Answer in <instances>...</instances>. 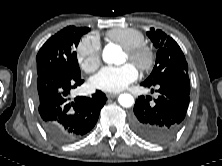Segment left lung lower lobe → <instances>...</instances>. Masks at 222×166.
Masks as SVG:
<instances>
[{"label": "left lung lower lobe", "instance_id": "left-lung-lower-lobe-1", "mask_svg": "<svg viewBox=\"0 0 222 166\" xmlns=\"http://www.w3.org/2000/svg\"><path fill=\"white\" fill-rule=\"evenodd\" d=\"M142 85L157 88L159 96L154 103L148 96L138 97L131 116L132 129L146 141L167 143L183 124L190 100L189 77H168L154 85Z\"/></svg>", "mask_w": 222, "mask_h": 166}]
</instances>
